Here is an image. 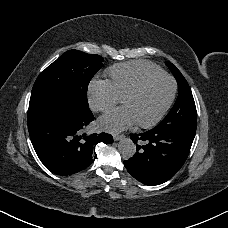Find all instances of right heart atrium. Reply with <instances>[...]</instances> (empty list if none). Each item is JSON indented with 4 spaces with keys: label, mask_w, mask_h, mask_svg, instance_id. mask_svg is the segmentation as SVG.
<instances>
[{
    "label": "right heart atrium",
    "mask_w": 228,
    "mask_h": 228,
    "mask_svg": "<svg viewBox=\"0 0 228 228\" xmlns=\"http://www.w3.org/2000/svg\"><path fill=\"white\" fill-rule=\"evenodd\" d=\"M89 104L94 111H107L120 102L109 80L93 81L88 89Z\"/></svg>",
    "instance_id": "obj_1"
}]
</instances>
